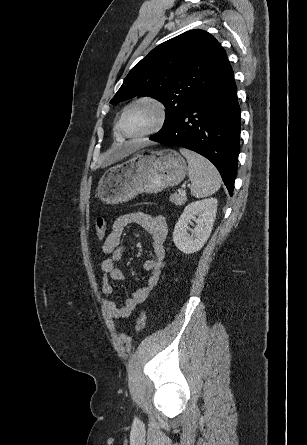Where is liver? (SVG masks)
<instances>
[{"label":"liver","mask_w":307,"mask_h":445,"mask_svg":"<svg viewBox=\"0 0 307 445\" xmlns=\"http://www.w3.org/2000/svg\"><path fill=\"white\" fill-rule=\"evenodd\" d=\"M102 166H108V164H112L115 160H118L116 152H104L101 158Z\"/></svg>","instance_id":"liver-1"}]
</instances>
